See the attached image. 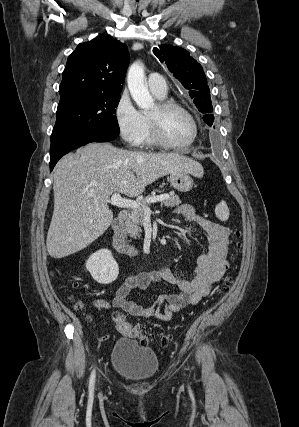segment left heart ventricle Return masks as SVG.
I'll return each mask as SVG.
<instances>
[{
	"mask_svg": "<svg viewBox=\"0 0 299 427\" xmlns=\"http://www.w3.org/2000/svg\"><path fill=\"white\" fill-rule=\"evenodd\" d=\"M149 115H158L155 105ZM163 134L174 143L184 144L191 139L193 127L190 119L177 109H170L160 115Z\"/></svg>",
	"mask_w": 299,
	"mask_h": 427,
	"instance_id": "b2bd125f",
	"label": "left heart ventricle"
}]
</instances>
